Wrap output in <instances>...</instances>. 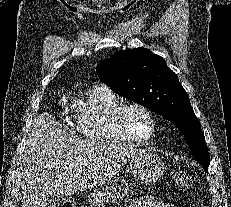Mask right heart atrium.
Segmentation results:
<instances>
[{"label":"right heart atrium","mask_w":231,"mask_h":207,"mask_svg":"<svg viewBox=\"0 0 231 207\" xmlns=\"http://www.w3.org/2000/svg\"><path fill=\"white\" fill-rule=\"evenodd\" d=\"M67 103H68V99H67L66 96H62V97H60V98L58 99V104H59L60 107H62V108H65L66 105H67Z\"/></svg>","instance_id":"obj_1"}]
</instances>
